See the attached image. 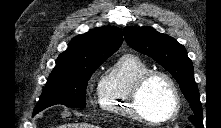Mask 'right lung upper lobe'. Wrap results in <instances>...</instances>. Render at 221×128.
Here are the masks:
<instances>
[{"instance_id":"right-lung-upper-lobe-1","label":"right lung upper lobe","mask_w":221,"mask_h":128,"mask_svg":"<svg viewBox=\"0 0 221 128\" xmlns=\"http://www.w3.org/2000/svg\"><path fill=\"white\" fill-rule=\"evenodd\" d=\"M123 42L120 29L106 26L90 30L71 40L68 49L59 55L53 71L66 70L109 58Z\"/></svg>"}]
</instances>
